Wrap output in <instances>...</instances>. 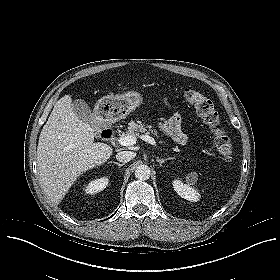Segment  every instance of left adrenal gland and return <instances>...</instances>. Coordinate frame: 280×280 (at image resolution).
Returning <instances> with one entry per match:
<instances>
[{"instance_id": "1", "label": "left adrenal gland", "mask_w": 280, "mask_h": 280, "mask_svg": "<svg viewBox=\"0 0 280 280\" xmlns=\"http://www.w3.org/2000/svg\"><path fill=\"white\" fill-rule=\"evenodd\" d=\"M172 159H174V157H168V158H164V159H161V158L157 157V158H156V161H157L160 165H162L165 161H167V160H172Z\"/></svg>"}]
</instances>
